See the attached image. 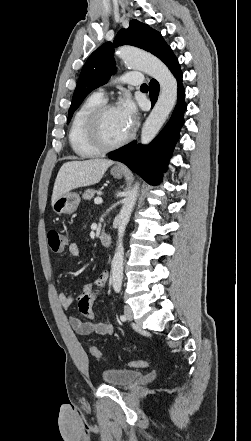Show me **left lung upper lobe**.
Returning a JSON list of instances; mask_svg holds the SVG:
<instances>
[{
    "mask_svg": "<svg viewBox=\"0 0 251 441\" xmlns=\"http://www.w3.org/2000/svg\"><path fill=\"white\" fill-rule=\"evenodd\" d=\"M132 45L144 49L159 59H163L170 50L163 40L161 34L148 25L131 20L128 29H121L113 44L104 43L96 49L87 59L79 76L76 89L73 94L72 103L68 113L69 123L73 113L85 99V97L95 88L105 84L112 73L115 71L114 46Z\"/></svg>",
    "mask_w": 251,
    "mask_h": 441,
    "instance_id": "obj_1",
    "label": "left lung upper lobe"
}]
</instances>
